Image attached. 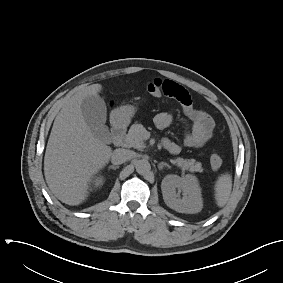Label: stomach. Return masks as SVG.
Listing matches in <instances>:
<instances>
[{
    "label": "stomach",
    "mask_w": 283,
    "mask_h": 283,
    "mask_svg": "<svg viewBox=\"0 0 283 283\" xmlns=\"http://www.w3.org/2000/svg\"><path fill=\"white\" fill-rule=\"evenodd\" d=\"M136 109L132 105H125L115 111V120L118 124H128L134 116Z\"/></svg>",
    "instance_id": "obj_1"
}]
</instances>
